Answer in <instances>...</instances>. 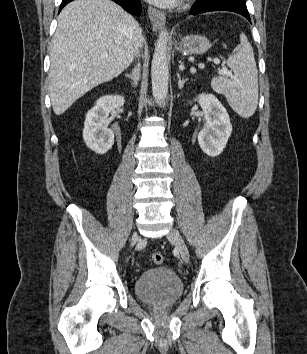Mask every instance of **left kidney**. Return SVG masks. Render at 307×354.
Wrapping results in <instances>:
<instances>
[{"instance_id": "left-kidney-1", "label": "left kidney", "mask_w": 307, "mask_h": 354, "mask_svg": "<svg viewBox=\"0 0 307 354\" xmlns=\"http://www.w3.org/2000/svg\"><path fill=\"white\" fill-rule=\"evenodd\" d=\"M206 120V127L198 134V142L210 157L221 154L232 132L229 115L221 102L213 95L202 93L197 96Z\"/></svg>"}]
</instances>
